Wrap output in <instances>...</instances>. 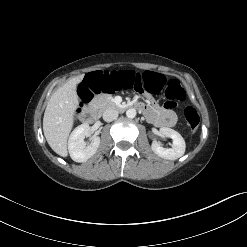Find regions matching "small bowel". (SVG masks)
I'll return each instance as SVG.
<instances>
[{
	"label": "small bowel",
	"mask_w": 247,
	"mask_h": 247,
	"mask_svg": "<svg viewBox=\"0 0 247 247\" xmlns=\"http://www.w3.org/2000/svg\"><path fill=\"white\" fill-rule=\"evenodd\" d=\"M144 113L148 120L157 127H173L176 125L177 116L172 107L166 105L158 107L152 102L143 103Z\"/></svg>",
	"instance_id": "1"
}]
</instances>
